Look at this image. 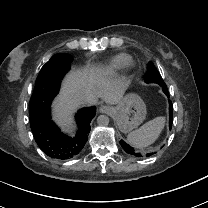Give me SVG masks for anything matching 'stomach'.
<instances>
[{"instance_id":"stomach-1","label":"stomach","mask_w":208,"mask_h":208,"mask_svg":"<svg viewBox=\"0 0 208 208\" xmlns=\"http://www.w3.org/2000/svg\"><path fill=\"white\" fill-rule=\"evenodd\" d=\"M111 108V116L124 133L138 127L146 117V105L137 94H127L116 107Z\"/></svg>"}]
</instances>
